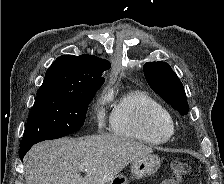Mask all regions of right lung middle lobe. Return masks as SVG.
Returning <instances> with one entry per match:
<instances>
[{"label":"right lung middle lobe","mask_w":224,"mask_h":184,"mask_svg":"<svg viewBox=\"0 0 224 184\" xmlns=\"http://www.w3.org/2000/svg\"><path fill=\"white\" fill-rule=\"evenodd\" d=\"M97 90L76 94H37L20 147L61 138L83 125L88 105Z\"/></svg>","instance_id":"dd1d6c3e"}]
</instances>
